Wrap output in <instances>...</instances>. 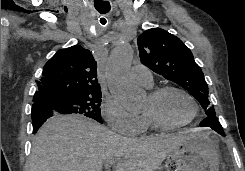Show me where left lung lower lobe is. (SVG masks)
Listing matches in <instances>:
<instances>
[{
	"mask_svg": "<svg viewBox=\"0 0 245 171\" xmlns=\"http://www.w3.org/2000/svg\"><path fill=\"white\" fill-rule=\"evenodd\" d=\"M200 126L210 127L211 129L215 130L220 135L225 136L223 128L221 124L218 122L217 118L206 117L204 120H202V122L200 123Z\"/></svg>",
	"mask_w": 245,
	"mask_h": 171,
	"instance_id": "0a47b994",
	"label": "left lung lower lobe"
}]
</instances>
